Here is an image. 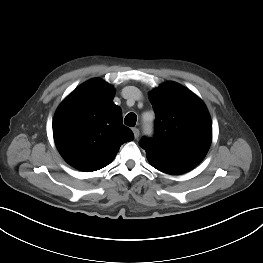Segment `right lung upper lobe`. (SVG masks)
I'll use <instances>...</instances> for the list:
<instances>
[{
  "label": "right lung upper lobe",
  "mask_w": 263,
  "mask_h": 263,
  "mask_svg": "<svg viewBox=\"0 0 263 263\" xmlns=\"http://www.w3.org/2000/svg\"><path fill=\"white\" fill-rule=\"evenodd\" d=\"M114 88L99 78L76 88L58 107L53 121L55 144L65 161L85 172L112 162L120 146L134 139L113 103Z\"/></svg>",
  "instance_id": "right-lung-upper-lobe-1"
}]
</instances>
